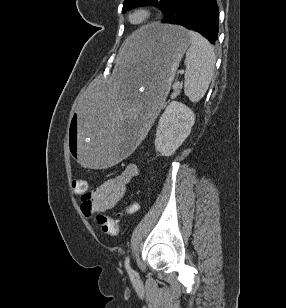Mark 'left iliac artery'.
Returning a JSON list of instances; mask_svg holds the SVG:
<instances>
[{"label": "left iliac artery", "instance_id": "1", "mask_svg": "<svg viewBox=\"0 0 286 308\" xmlns=\"http://www.w3.org/2000/svg\"><path fill=\"white\" fill-rule=\"evenodd\" d=\"M125 268H126V270H127L129 273H131V274L134 273V271H133V270L131 269V267H130V258H129V256L126 257V259H125Z\"/></svg>", "mask_w": 286, "mask_h": 308}]
</instances>
